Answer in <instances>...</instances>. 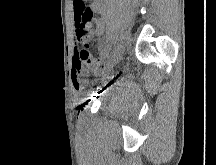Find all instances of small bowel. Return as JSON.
Here are the masks:
<instances>
[{"label": "small bowel", "mask_w": 216, "mask_h": 165, "mask_svg": "<svg viewBox=\"0 0 216 165\" xmlns=\"http://www.w3.org/2000/svg\"><path fill=\"white\" fill-rule=\"evenodd\" d=\"M73 12L75 21V34L78 41V34L81 28H84L93 34L101 35L104 32V22L102 18L91 17L84 20L83 13H98L102 16L105 15L104 0H93L91 5H86L85 0H73ZM73 85L76 90L80 87V75L76 74L73 78Z\"/></svg>", "instance_id": "1"}]
</instances>
